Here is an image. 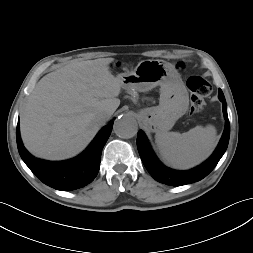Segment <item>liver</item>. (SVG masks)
<instances>
[{
    "label": "liver",
    "instance_id": "liver-1",
    "mask_svg": "<svg viewBox=\"0 0 253 253\" xmlns=\"http://www.w3.org/2000/svg\"><path fill=\"white\" fill-rule=\"evenodd\" d=\"M113 61L73 62L36 84L20 116L21 137L33 155L67 159L91 142L101 127L96 114L111 116L120 105L121 81L109 70Z\"/></svg>",
    "mask_w": 253,
    "mask_h": 253
}]
</instances>
